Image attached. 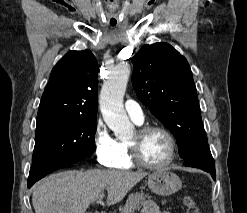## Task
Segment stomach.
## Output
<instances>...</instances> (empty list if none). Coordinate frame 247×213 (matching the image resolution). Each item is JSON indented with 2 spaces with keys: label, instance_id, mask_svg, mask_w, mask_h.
<instances>
[{
  "label": "stomach",
  "instance_id": "obj_1",
  "mask_svg": "<svg viewBox=\"0 0 247 213\" xmlns=\"http://www.w3.org/2000/svg\"><path fill=\"white\" fill-rule=\"evenodd\" d=\"M149 189L160 196H169L182 187L180 178L169 170H157L148 176Z\"/></svg>",
  "mask_w": 247,
  "mask_h": 213
}]
</instances>
